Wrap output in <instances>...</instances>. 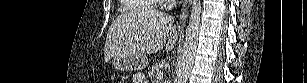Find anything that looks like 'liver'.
Listing matches in <instances>:
<instances>
[{
  "label": "liver",
  "instance_id": "1",
  "mask_svg": "<svg viewBox=\"0 0 307 83\" xmlns=\"http://www.w3.org/2000/svg\"><path fill=\"white\" fill-rule=\"evenodd\" d=\"M174 18L155 10L123 14L112 22L107 33L104 59L117 55L153 54L164 47L170 51L177 41Z\"/></svg>",
  "mask_w": 307,
  "mask_h": 83
}]
</instances>
